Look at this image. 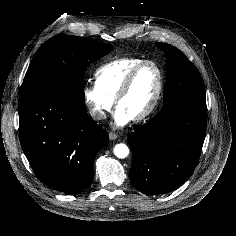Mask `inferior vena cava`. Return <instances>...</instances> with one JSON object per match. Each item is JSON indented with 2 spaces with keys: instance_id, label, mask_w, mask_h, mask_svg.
<instances>
[{
  "instance_id": "obj_1",
  "label": "inferior vena cava",
  "mask_w": 236,
  "mask_h": 236,
  "mask_svg": "<svg viewBox=\"0 0 236 236\" xmlns=\"http://www.w3.org/2000/svg\"><path fill=\"white\" fill-rule=\"evenodd\" d=\"M89 112L90 115L97 120L102 119L105 116L104 112H102L101 110H97L94 105L89 106Z\"/></svg>"
}]
</instances>
